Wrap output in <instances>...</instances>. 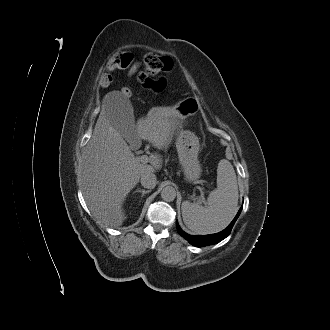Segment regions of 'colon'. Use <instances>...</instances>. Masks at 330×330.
<instances>
[{"label":"colon","mask_w":330,"mask_h":330,"mask_svg":"<svg viewBox=\"0 0 330 330\" xmlns=\"http://www.w3.org/2000/svg\"><path fill=\"white\" fill-rule=\"evenodd\" d=\"M132 63L129 53H118L114 55L107 65V70L102 79L110 82V72L128 68ZM143 69L137 75V80L141 86L150 91H160L165 86V79L156 77L161 72H168L173 68V61L168 56L148 54L143 58ZM124 96H130L131 90L127 87L121 89Z\"/></svg>","instance_id":"1"}]
</instances>
